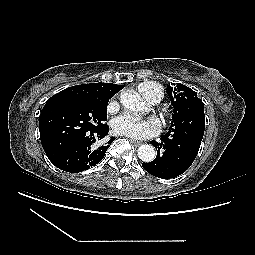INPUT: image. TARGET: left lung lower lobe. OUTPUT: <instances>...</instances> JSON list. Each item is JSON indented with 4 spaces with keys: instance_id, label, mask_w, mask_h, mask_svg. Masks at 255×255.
Wrapping results in <instances>:
<instances>
[{
    "instance_id": "1",
    "label": "left lung lower lobe",
    "mask_w": 255,
    "mask_h": 255,
    "mask_svg": "<svg viewBox=\"0 0 255 255\" xmlns=\"http://www.w3.org/2000/svg\"><path fill=\"white\" fill-rule=\"evenodd\" d=\"M204 110L191 123L170 127L161 142L151 141L157 150L155 160L143 163L150 174L164 179L177 177L193 163L204 135Z\"/></svg>"
}]
</instances>
